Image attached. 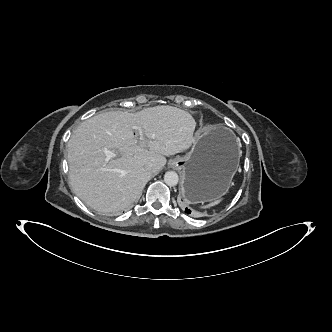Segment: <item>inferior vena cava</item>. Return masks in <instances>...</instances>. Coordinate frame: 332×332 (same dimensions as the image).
<instances>
[{"mask_svg": "<svg viewBox=\"0 0 332 332\" xmlns=\"http://www.w3.org/2000/svg\"><path fill=\"white\" fill-rule=\"evenodd\" d=\"M145 168H146V170H148V171H152V169H153V164H152V163H148V164H146Z\"/></svg>", "mask_w": 332, "mask_h": 332, "instance_id": "1", "label": "inferior vena cava"}]
</instances>
